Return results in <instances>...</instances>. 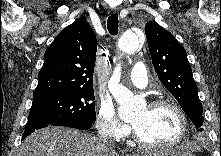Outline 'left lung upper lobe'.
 I'll return each mask as SVG.
<instances>
[{"label":"left lung upper lobe","instance_id":"5c2ea615","mask_svg":"<svg viewBox=\"0 0 221 156\" xmlns=\"http://www.w3.org/2000/svg\"><path fill=\"white\" fill-rule=\"evenodd\" d=\"M145 32L153 66L160 81L176 98L196 130L203 131L202 104L186 50L155 21L145 25Z\"/></svg>","mask_w":221,"mask_h":156}]
</instances>
